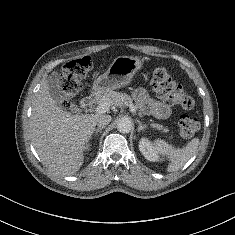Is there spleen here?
Wrapping results in <instances>:
<instances>
[{"label": "spleen", "mask_w": 235, "mask_h": 235, "mask_svg": "<svg viewBox=\"0 0 235 235\" xmlns=\"http://www.w3.org/2000/svg\"><path fill=\"white\" fill-rule=\"evenodd\" d=\"M199 146V139L194 138L183 148H175L164 140L158 139L154 142L155 150L162 156H166L170 163L167 167L168 172H173L185 165L194 155Z\"/></svg>", "instance_id": "1"}]
</instances>
